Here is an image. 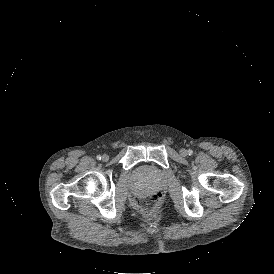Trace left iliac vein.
<instances>
[{"mask_svg":"<svg viewBox=\"0 0 274 274\" xmlns=\"http://www.w3.org/2000/svg\"><path fill=\"white\" fill-rule=\"evenodd\" d=\"M180 154H181L182 156H186V155H187V150H186V149H181V150H180Z\"/></svg>","mask_w":274,"mask_h":274,"instance_id":"4c4485c4","label":"left iliac vein"}]
</instances>
